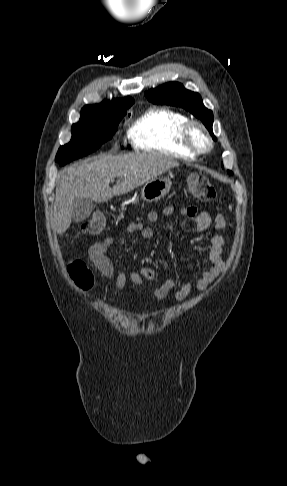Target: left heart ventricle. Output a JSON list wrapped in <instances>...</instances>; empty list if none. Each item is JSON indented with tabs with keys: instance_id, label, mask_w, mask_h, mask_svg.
<instances>
[{
	"instance_id": "obj_1",
	"label": "left heart ventricle",
	"mask_w": 287,
	"mask_h": 486,
	"mask_svg": "<svg viewBox=\"0 0 287 486\" xmlns=\"http://www.w3.org/2000/svg\"><path fill=\"white\" fill-rule=\"evenodd\" d=\"M195 141L197 142L198 145L200 146H205L206 142L203 139V137L199 133H195L194 135Z\"/></svg>"
}]
</instances>
